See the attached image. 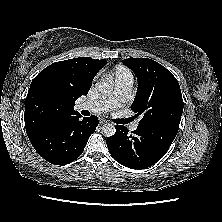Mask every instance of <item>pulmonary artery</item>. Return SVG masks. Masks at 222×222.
Masks as SVG:
<instances>
[{
    "mask_svg": "<svg viewBox=\"0 0 222 222\" xmlns=\"http://www.w3.org/2000/svg\"><path fill=\"white\" fill-rule=\"evenodd\" d=\"M133 85L131 74H125L115 78V88L113 93L105 100L84 102L79 105V109L88 110L94 113L106 112L110 109L123 105ZM138 123H133L130 127L132 131L136 130Z\"/></svg>",
    "mask_w": 222,
    "mask_h": 222,
    "instance_id": "e3ab8cb5",
    "label": "pulmonary artery"
}]
</instances>
